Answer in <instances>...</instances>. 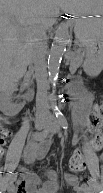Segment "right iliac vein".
<instances>
[{"instance_id": "63e3f726", "label": "right iliac vein", "mask_w": 103, "mask_h": 193, "mask_svg": "<svg viewBox=\"0 0 103 193\" xmlns=\"http://www.w3.org/2000/svg\"><path fill=\"white\" fill-rule=\"evenodd\" d=\"M47 123L45 121H37L35 124L36 129L42 130L46 127ZM10 188V187H8Z\"/></svg>"}]
</instances>
